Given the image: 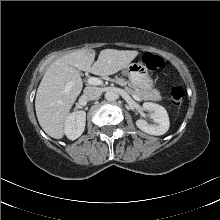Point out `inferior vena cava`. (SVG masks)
Here are the masks:
<instances>
[{"mask_svg":"<svg viewBox=\"0 0 220 220\" xmlns=\"http://www.w3.org/2000/svg\"><path fill=\"white\" fill-rule=\"evenodd\" d=\"M101 89L98 87L88 86L84 89L83 95L88 100H96L101 96Z\"/></svg>","mask_w":220,"mask_h":220,"instance_id":"602c4592","label":"inferior vena cava"}]
</instances>
